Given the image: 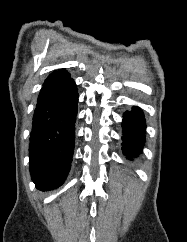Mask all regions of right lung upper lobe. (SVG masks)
<instances>
[{
	"mask_svg": "<svg viewBox=\"0 0 187 242\" xmlns=\"http://www.w3.org/2000/svg\"><path fill=\"white\" fill-rule=\"evenodd\" d=\"M69 73L65 69H60L58 71L52 72L48 78L45 80L44 84L52 83L57 80L67 77Z\"/></svg>",
	"mask_w": 187,
	"mask_h": 242,
	"instance_id": "obj_1",
	"label": "right lung upper lobe"
}]
</instances>
